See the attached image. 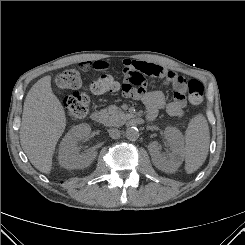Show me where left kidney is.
<instances>
[{
    "label": "left kidney",
    "instance_id": "5707ae66",
    "mask_svg": "<svg viewBox=\"0 0 245 245\" xmlns=\"http://www.w3.org/2000/svg\"><path fill=\"white\" fill-rule=\"evenodd\" d=\"M164 136L170 146L168 154L161 152L160 145L156 141L149 144L148 150L158 169L164 172H173L177 170L184 159V140L182 133L174 127H167Z\"/></svg>",
    "mask_w": 245,
    "mask_h": 245
}]
</instances>
